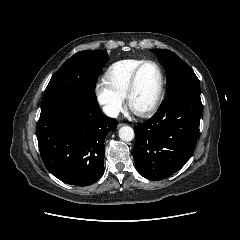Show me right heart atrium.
<instances>
[{"instance_id":"d8ad5b80","label":"right heart atrium","mask_w":240,"mask_h":240,"mask_svg":"<svg viewBox=\"0 0 240 240\" xmlns=\"http://www.w3.org/2000/svg\"><path fill=\"white\" fill-rule=\"evenodd\" d=\"M95 96L104 113L116 117L123 109L124 99L112 91L105 82L95 86Z\"/></svg>"}]
</instances>
